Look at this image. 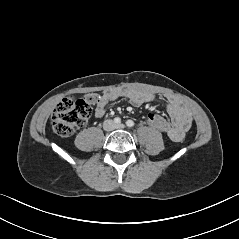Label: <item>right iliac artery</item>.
Segmentation results:
<instances>
[{"instance_id":"obj_1","label":"right iliac artery","mask_w":239,"mask_h":239,"mask_svg":"<svg viewBox=\"0 0 239 239\" xmlns=\"http://www.w3.org/2000/svg\"><path fill=\"white\" fill-rule=\"evenodd\" d=\"M114 122H115L116 124H120V123H121V119H120L119 117H116V118L114 119Z\"/></svg>"}]
</instances>
